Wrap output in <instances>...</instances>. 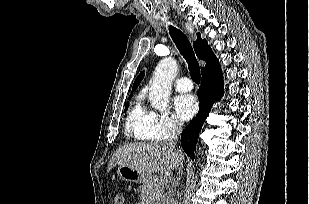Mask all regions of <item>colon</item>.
I'll list each match as a JSON object with an SVG mask.
<instances>
[{"mask_svg": "<svg viewBox=\"0 0 309 204\" xmlns=\"http://www.w3.org/2000/svg\"><path fill=\"white\" fill-rule=\"evenodd\" d=\"M125 195L123 192L117 191L114 193V204H124Z\"/></svg>", "mask_w": 309, "mask_h": 204, "instance_id": "colon-1", "label": "colon"}]
</instances>
